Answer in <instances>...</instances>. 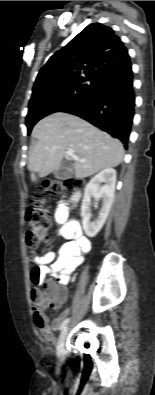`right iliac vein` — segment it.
I'll use <instances>...</instances> for the list:
<instances>
[{
  "label": "right iliac vein",
  "mask_w": 155,
  "mask_h": 395,
  "mask_svg": "<svg viewBox=\"0 0 155 395\" xmlns=\"http://www.w3.org/2000/svg\"><path fill=\"white\" fill-rule=\"evenodd\" d=\"M68 333V327H65L62 332L59 335V339L57 342V356L59 359L63 360L65 357V349H64V344H65V339Z\"/></svg>",
  "instance_id": "1"
}]
</instances>
